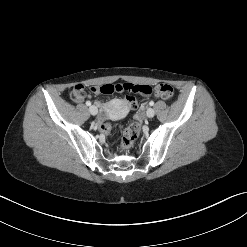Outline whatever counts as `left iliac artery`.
<instances>
[{"label": "left iliac artery", "instance_id": "44dca946", "mask_svg": "<svg viewBox=\"0 0 247 247\" xmlns=\"http://www.w3.org/2000/svg\"><path fill=\"white\" fill-rule=\"evenodd\" d=\"M149 105H150V106H153V105H154V102H153V101H150V102H149Z\"/></svg>", "mask_w": 247, "mask_h": 247}]
</instances>
